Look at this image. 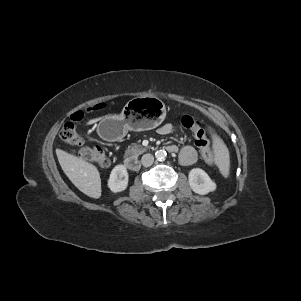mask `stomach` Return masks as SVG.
Wrapping results in <instances>:
<instances>
[{
  "mask_svg": "<svg viewBox=\"0 0 301 301\" xmlns=\"http://www.w3.org/2000/svg\"><path fill=\"white\" fill-rule=\"evenodd\" d=\"M162 101L144 96L131 99L119 115L103 119L98 126L100 135L109 141H117L128 131H145L157 127L165 119Z\"/></svg>",
  "mask_w": 301,
  "mask_h": 301,
  "instance_id": "stomach-1",
  "label": "stomach"
}]
</instances>
